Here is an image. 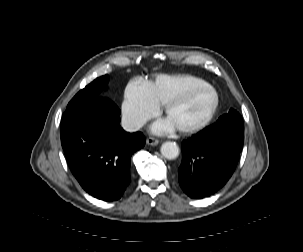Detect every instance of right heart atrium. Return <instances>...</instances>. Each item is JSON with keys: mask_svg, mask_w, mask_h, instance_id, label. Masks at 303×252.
Here are the masks:
<instances>
[{"mask_svg": "<svg viewBox=\"0 0 303 252\" xmlns=\"http://www.w3.org/2000/svg\"><path fill=\"white\" fill-rule=\"evenodd\" d=\"M159 106L148 96L143 85L131 83L125 90L121 113L128 129H138L156 114Z\"/></svg>", "mask_w": 303, "mask_h": 252, "instance_id": "1", "label": "right heart atrium"}]
</instances>
